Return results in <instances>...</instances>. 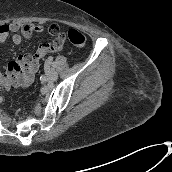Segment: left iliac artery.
Returning <instances> with one entry per match:
<instances>
[{"label":"left iliac artery","mask_w":172,"mask_h":172,"mask_svg":"<svg viewBox=\"0 0 172 172\" xmlns=\"http://www.w3.org/2000/svg\"><path fill=\"white\" fill-rule=\"evenodd\" d=\"M52 60H53L52 57H49V58H48L49 63H52Z\"/></svg>","instance_id":"obj_1"}]
</instances>
